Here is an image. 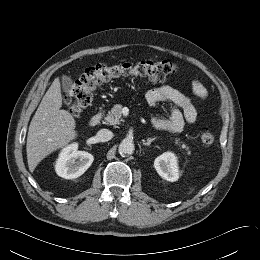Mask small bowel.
I'll list each match as a JSON object with an SVG mask.
<instances>
[{
  "label": "small bowel",
  "mask_w": 260,
  "mask_h": 260,
  "mask_svg": "<svg viewBox=\"0 0 260 260\" xmlns=\"http://www.w3.org/2000/svg\"><path fill=\"white\" fill-rule=\"evenodd\" d=\"M192 91L200 99L207 97V90L198 81H192ZM150 106H157L162 102H170L173 107L168 120L154 119L152 125L159 130H168L174 133L180 132L185 123L192 124L196 121V110L190 98L180 90L164 85L149 90L146 94Z\"/></svg>",
  "instance_id": "small-bowel-1"
}]
</instances>
